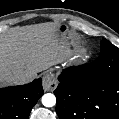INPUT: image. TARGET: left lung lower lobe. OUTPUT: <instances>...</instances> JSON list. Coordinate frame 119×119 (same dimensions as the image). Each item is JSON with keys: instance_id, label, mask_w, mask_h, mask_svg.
Returning a JSON list of instances; mask_svg holds the SVG:
<instances>
[{"instance_id": "obj_1", "label": "left lung lower lobe", "mask_w": 119, "mask_h": 119, "mask_svg": "<svg viewBox=\"0 0 119 119\" xmlns=\"http://www.w3.org/2000/svg\"><path fill=\"white\" fill-rule=\"evenodd\" d=\"M58 80L59 119H119V48L108 40L96 61L68 67Z\"/></svg>"}]
</instances>
